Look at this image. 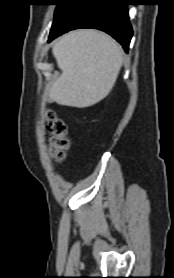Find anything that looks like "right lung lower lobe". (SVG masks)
I'll return each instance as SVG.
<instances>
[{"instance_id":"1","label":"right lung lower lobe","mask_w":174,"mask_h":278,"mask_svg":"<svg viewBox=\"0 0 174 278\" xmlns=\"http://www.w3.org/2000/svg\"><path fill=\"white\" fill-rule=\"evenodd\" d=\"M128 0H80L64 20L51 29L49 41L73 29L95 28L115 38L126 52L132 38Z\"/></svg>"}]
</instances>
